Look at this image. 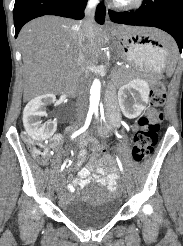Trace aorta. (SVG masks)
Instances as JSON below:
<instances>
[{
    "mask_svg": "<svg viewBox=\"0 0 183 246\" xmlns=\"http://www.w3.org/2000/svg\"><path fill=\"white\" fill-rule=\"evenodd\" d=\"M100 91H101V83L99 79H95L92 83L90 89V109L98 110L99 101H100Z\"/></svg>",
    "mask_w": 183,
    "mask_h": 246,
    "instance_id": "aorta-1",
    "label": "aorta"
}]
</instances>
